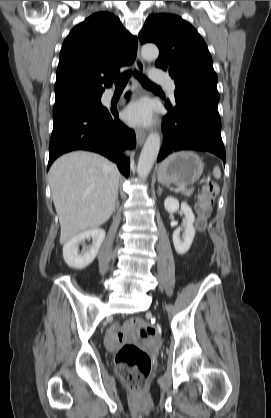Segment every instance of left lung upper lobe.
<instances>
[{
	"instance_id": "obj_1",
	"label": "left lung upper lobe",
	"mask_w": 271,
	"mask_h": 418,
	"mask_svg": "<svg viewBox=\"0 0 271 418\" xmlns=\"http://www.w3.org/2000/svg\"><path fill=\"white\" fill-rule=\"evenodd\" d=\"M139 40L159 47L155 65L174 79V94L187 91L219 101L211 55L202 37L187 21L168 13L151 14Z\"/></svg>"
}]
</instances>
